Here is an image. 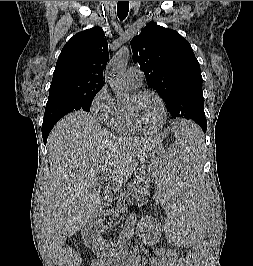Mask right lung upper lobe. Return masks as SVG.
<instances>
[{"mask_svg":"<svg viewBox=\"0 0 253 266\" xmlns=\"http://www.w3.org/2000/svg\"><path fill=\"white\" fill-rule=\"evenodd\" d=\"M108 59V44L102 28L77 33L58 57L49 95L100 90Z\"/></svg>","mask_w":253,"mask_h":266,"instance_id":"right-lung-upper-lobe-1","label":"right lung upper lobe"}]
</instances>
